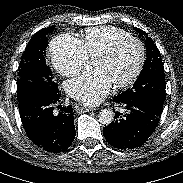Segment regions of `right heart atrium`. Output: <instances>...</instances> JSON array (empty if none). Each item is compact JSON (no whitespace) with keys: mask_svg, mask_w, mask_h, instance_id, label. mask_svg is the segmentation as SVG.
<instances>
[{"mask_svg":"<svg viewBox=\"0 0 183 183\" xmlns=\"http://www.w3.org/2000/svg\"><path fill=\"white\" fill-rule=\"evenodd\" d=\"M50 56L54 68L63 76L78 74L87 60L80 41L70 34H61L52 40Z\"/></svg>","mask_w":183,"mask_h":183,"instance_id":"d8ad5b80","label":"right heart atrium"}]
</instances>
